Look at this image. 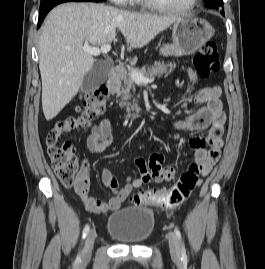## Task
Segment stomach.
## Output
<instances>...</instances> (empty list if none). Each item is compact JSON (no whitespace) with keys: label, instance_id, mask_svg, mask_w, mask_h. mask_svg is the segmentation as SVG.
<instances>
[{"label":"stomach","instance_id":"stomach-1","mask_svg":"<svg viewBox=\"0 0 265 269\" xmlns=\"http://www.w3.org/2000/svg\"><path fill=\"white\" fill-rule=\"evenodd\" d=\"M214 29L205 19L186 17L174 22L171 44L160 49L163 56H183L195 53L212 36Z\"/></svg>","mask_w":265,"mask_h":269}]
</instances>
